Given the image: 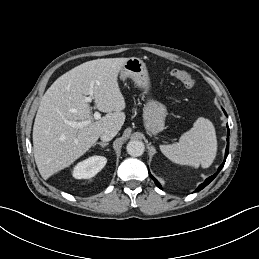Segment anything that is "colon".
<instances>
[{
    "instance_id": "1",
    "label": "colon",
    "mask_w": 259,
    "mask_h": 259,
    "mask_svg": "<svg viewBox=\"0 0 259 259\" xmlns=\"http://www.w3.org/2000/svg\"><path fill=\"white\" fill-rule=\"evenodd\" d=\"M170 75L179 80L187 90L193 91L196 88V81L188 72L175 68L170 70Z\"/></svg>"
}]
</instances>
